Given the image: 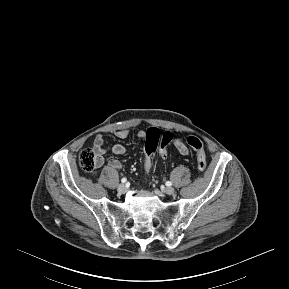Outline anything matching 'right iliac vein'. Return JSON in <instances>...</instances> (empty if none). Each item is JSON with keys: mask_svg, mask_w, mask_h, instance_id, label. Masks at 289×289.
Listing matches in <instances>:
<instances>
[{"mask_svg": "<svg viewBox=\"0 0 289 289\" xmlns=\"http://www.w3.org/2000/svg\"><path fill=\"white\" fill-rule=\"evenodd\" d=\"M117 191L120 193V194H124L126 191H127V187L126 185L124 184H120L117 188Z\"/></svg>", "mask_w": 289, "mask_h": 289, "instance_id": "1", "label": "right iliac vein"}]
</instances>
